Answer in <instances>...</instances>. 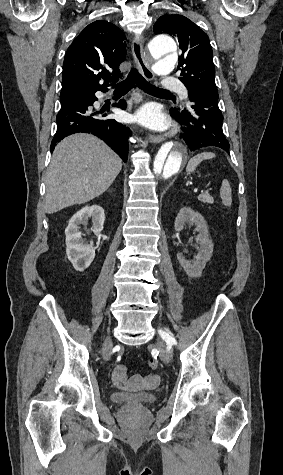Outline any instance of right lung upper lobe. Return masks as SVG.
Masks as SVG:
<instances>
[{
	"mask_svg": "<svg viewBox=\"0 0 283 475\" xmlns=\"http://www.w3.org/2000/svg\"><path fill=\"white\" fill-rule=\"evenodd\" d=\"M126 37L114 24L95 21L69 46L63 65L62 89L99 91L118 81L126 55ZM101 79L105 82L102 84Z\"/></svg>",
	"mask_w": 283,
	"mask_h": 475,
	"instance_id": "cb5924a9",
	"label": "right lung upper lobe"
}]
</instances>
